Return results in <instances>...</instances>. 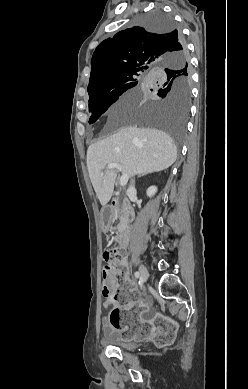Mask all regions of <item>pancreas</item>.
Here are the masks:
<instances>
[{
  "label": "pancreas",
  "mask_w": 248,
  "mask_h": 389,
  "mask_svg": "<svg viewBox=\"0 0 248 389\" xmlns=\"http://www.w3.org/2000/svg\"><path fill=\"white\" fill-rule=\"evenodd\" d=\"M117 218H118V210L117 209H115V214H114V216H113V221H115V220H117ZM114 230L116 231V233L118 234L119 232H121V230H122V227H121V225L120 224H118L117 225V227H115L114 228Z\"/></svg>",
  "instance_id": "cf45deb5"
}]
</instances>
